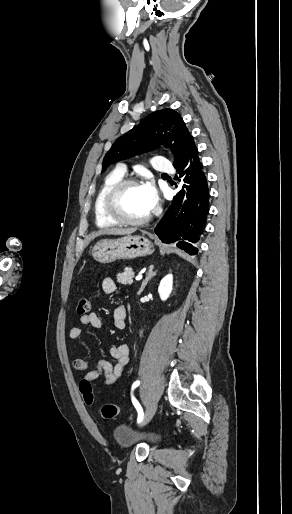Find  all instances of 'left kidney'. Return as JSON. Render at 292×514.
Segmentation results:
<instances>
[{
    "mask_svg": "<svg viewBox=\"0 0 292 514\" xmlns=\"http://www.w3.org/2000/svg\"><path fill=\"white\" fill-rule=\"evenodd\" d=\"M173 276L168 274L163 280H161L158 288L161 300H167L172 292Z\"/></svg>",
    "mask_w": 292,
    "mask_h": 514,
    "instance_id": "5707ae66",
    "label": "left kidney"
}]
</instances>
